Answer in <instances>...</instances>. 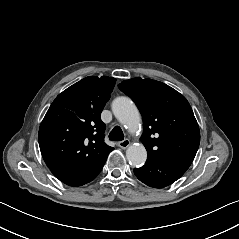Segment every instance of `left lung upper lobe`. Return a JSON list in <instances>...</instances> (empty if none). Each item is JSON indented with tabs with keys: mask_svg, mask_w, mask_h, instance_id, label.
Segmentation results:
<instances>
[{
	"mask_svg": "<svg viewBox=\"0 0 239 239\" xmlns=\"http://www.w3.org/2000/svg\"><path fill=\"white\" fill-rule=\"evenodd\" d=\"M118 87L141 112L144 131L140 140L147 150V160L192 162L200 144V131L186 98L152 79L133 78Z\"/></svg>",
	"mask_w": 239,
	"mask_h": 239,
	"instance_id": "5c2ea615",
	"label": "left lung upper lobe"
}]
</instances>
